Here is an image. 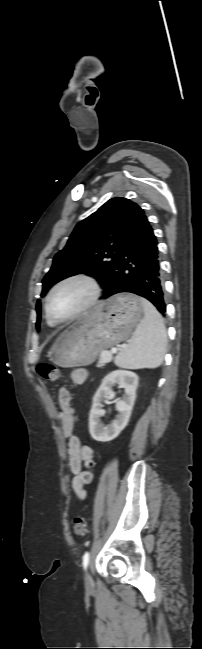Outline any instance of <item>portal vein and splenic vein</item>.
I'll return each mask as SVG.
<instances>
[{
  "mask_svg": "<svg viewBox=\"0 0 202 649\" xmlns=\"http://www.w3.org/2000/svg\"><path fill=\"white\" fill-rule=\"evenodd\" d=\"M111 351H112V353H116V352H117V349H116V348H112ZM112 353L102 352V353H101V360H102L103 362H110V361L112 360Z\"/></svg>",
  "mask_w": 202,
  "mask_h": 649,
  "instance_id": "18ae733b",
  "label": "portal vein and splenic vein"
}]
</instances>
